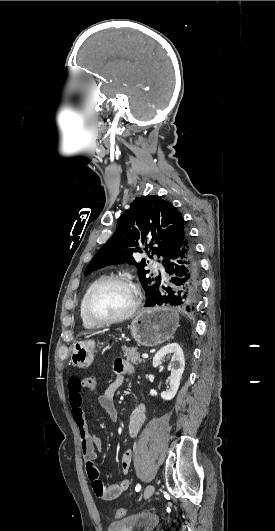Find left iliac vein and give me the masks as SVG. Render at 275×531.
<instances>
[{
  "mask_svg": "<svg viewBox=\"0 0 275 531\" xmlns=\"http://www.w3.org/2000/svg\"><path fill=\"white\" fill-rule=\"evenodd\" d=\"M155 487L152 484L147 485V487L144 490V498L147 499L152 496L154 493Z\"/></svg>",
  "mask_w": 275,
  "mask_h": 531,
  "instance_id": "left-iliac-vein-1",
  "label": "left iliac vein"
}]
</instances>
